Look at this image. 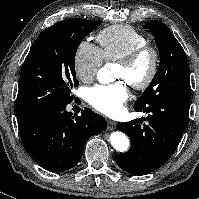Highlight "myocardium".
<instances>
[{"label": "myocardium", "instance_id": "f54148a6", "mask_svg": "<svg viewBox=\"0 0 199 199\" xmlns=\"http://www.w3.org/2000/svg\"><path fill=\"white\" fill-rule=\"evenodd\" d=\"M146 56L150 60V67L147 75L141 81L129 82L130 86L137 91H144L148 89L154 82L159 70L160 57L158 50L152 45L145 44L135 48L117 61L118 65L129 69L133 67L141 58Z\"/></svg>", "mask_w": 199, "mask_h": 199}]
</instances>
